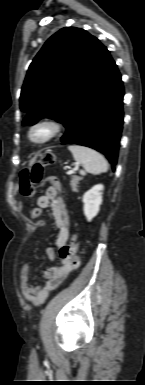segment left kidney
Wrapping results in <instances>:
<instances>
[{
  "mask_svg": "<svg viewBox=\"0 0 145 385\" xmlns=\"http://www.w3.org/2000/svg\"><path fill=\"white\" fill-rule=\"evenodd\" d=\"M103 189L104 186L102 184H98L93 186L83 195V210L88 221H91L100 210Z\"/></svg>",
  "mask_w": 145,
  "mask_h": 385,
  "instance_id": "obj_1",
  "label": "left kidney"
}]
</instances>
